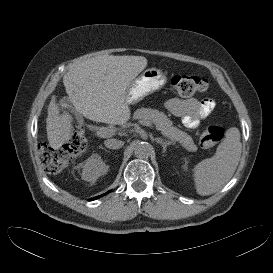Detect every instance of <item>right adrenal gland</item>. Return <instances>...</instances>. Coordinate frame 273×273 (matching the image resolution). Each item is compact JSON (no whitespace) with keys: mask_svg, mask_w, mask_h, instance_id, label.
<instances>
[{"mask_svg":"<svg viewBox=\"0 0 273 273\" xmlns=\"http://www.w3.org/2000/svg\"><path fill=\"white\" fill-rule=\"evenodd\" d=\"M101 149H103L104 151H106V152H109L107 149H105V148H103V147H100Z\"/></svg>","mask_w":273,"mask_h":273,"instance_id":"right-adrenal-gland-1","label":"right adrenal gland"}]
</instances>
